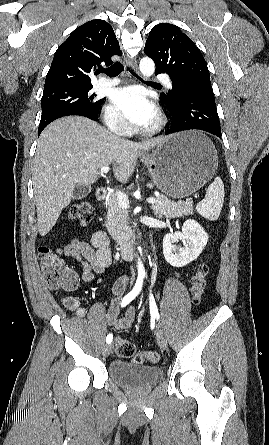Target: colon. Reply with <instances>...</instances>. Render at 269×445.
Segmentation results:
<instances>
[{
  "label": "colon",
  "instance_id": "5ec220e1",
  "mask_svg": "<svg viewBox=\"0 0 269 445\" xmlns=\"http://www.w3.org/2000/svg\"><path fill=\"white\" fill-rule=\"evenodd\" d=\"M70 219L87 225L92 221L91 204L88 201H80L73 204L68 210ZM38 258L45 283L52 289L71 291L76 288V280L70 276L63 265L62 260L48 247H40ZM209 269L205 264L196 267L192 277L190 294L192 301L199 304L204 296L207 285ZM116 354L121 358L131 359L136 364L156 363L159 354L156 351H144L136 353L134 344L125 339H118L115 346Z\"/></svg>",
  "mask_w": 269,
  "mask_h": 445
}]
</instances>
